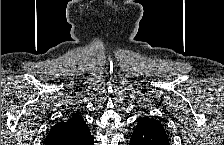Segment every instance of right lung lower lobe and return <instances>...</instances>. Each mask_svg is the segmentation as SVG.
I'll return each mask as SVG.
<instances>
[{
  "mask_svg": "<svg viewBox=\"0 0 224 145\" xmlns=\"http://www.w3.org/2000/svg\"><path fill=\"white\" fill-rule=\"evenodd\" d=\"M93 142H94V139H92V140L89 142V144H90V145H92V144H93Z\"/></svg>",
  "mask_w": 224,
  "mask_h": 145,
  "instance_id": "right-lung-lower-lobe-1",
  "label": "right lung lower lobe"
}]
</instances>
